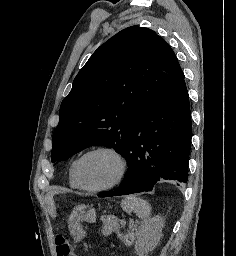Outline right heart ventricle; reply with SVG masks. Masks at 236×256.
<instances>
[{
  "label": "right heart ventricle",
  "instance_id": "e07e8e85",
  "mask_svg": "<svg viewBox=\"0 0 236 256\" xmlns=\"http://www.w3.org/2000/svg\"><path fill=\"white\" fill-rule=\"evenodd\" d=\"M79 157H80L79 155L74 156L71 159V161L68 165V171H67L68 184L73 189H80L81 188L78 181H77L76 173H75L76 164H77V161H78Z\"/></svg>",
  "mask_w": 236,
  "mask_h": 256
}]
</instances>
